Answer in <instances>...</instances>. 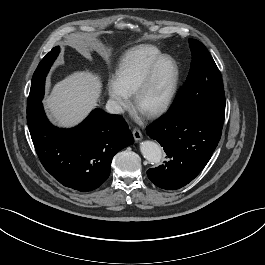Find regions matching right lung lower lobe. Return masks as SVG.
Returning <instances> with one entry per match:
<instances>
[{
  "instance_id": "98d812e1",
  "label": "right lung lower lobe",
  "mask_w": 265,
  "mask_h": 265,
  "mask_svg": "<svg viewBox=\"0 0 265 265\" xmlns=\"http://www.w3.org/2000/svg\"><path fill=\"white\" fill-rule=\"evenodd\" d=\"M27 123L44 168L62 185L89 192L109 177L114 155L133 143L123 117L101 109L73 129H59L48 121L42 103L27 111Z\"/></svg>"
}]
</instances>
